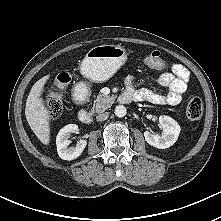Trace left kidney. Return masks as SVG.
<instances>
[{"label": "left kidney", "mask_w": 221, "mask_h": 221, "mask_svg": "<svg viewBox=\"0 0 221 221\" xmlns=\"http://www.w3.org/2000/svg\"><path fill=\"white\" fill-rule=\"evenodd\" d=\"M159 123L163 130L162 135L145 131V140L153 147L159 149L169 148L177 141L181 128L179 124L169 116H160Z\"/></svg>", "instance_id": "5707ae66"}]
</instances>
